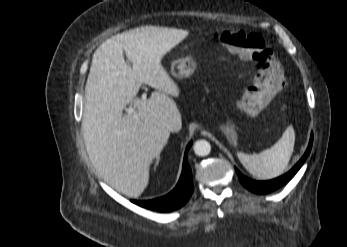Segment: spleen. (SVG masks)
I'll list each match as a JSON object with an SVG mask.
<instances>
[{
  "label": "spleen",
  "mask_w": 347,
  "mask_h": 247,
  "mask_svg": "<svg viewBox=\"0 0 347 247\" xmlns=\"http://www.w3.org/2000/svg\"><path fill=\"white\" fill-rule=\"evenodd\" d=\"M294 144L295 131L290 125L271 148L254 155L239 152L238 158L251 175L259 179H271L285 171L293 154Z\"/></svg>",
  "instance_id": "1"
}]
</instances>
